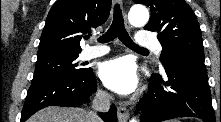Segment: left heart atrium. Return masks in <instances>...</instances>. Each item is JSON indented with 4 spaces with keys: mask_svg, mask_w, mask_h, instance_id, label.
<instances>
[{
    "mask_svg": "<svg viewBox=\"0 0 221 122\" xmlns=\"http://www.w3.org/2000/svg\"><path fill=\"white\" fill-rule=\"evenodd\" d=\"M99 76L106 87L119 94L132 93L138 84L135 65L126 57L104 62L99 68Z\"/></svg>",
    "mask_w": 221,
    "mask_h": 122,
    "instance_id": "1",
    "label": "left heart atrium"
}]
</instances>
